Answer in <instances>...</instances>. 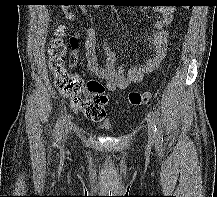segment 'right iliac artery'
<instances>
[{"mask_svg":"<svg viewBox=\"0 0 217 197\" xmlns=\"http://www.w3.org/2000/svg\"><path fill=\"white\" fill-rule=\"evenodd\" d=\"M63 125H64V116H61L57 123H56V128H55V139L59 141L62 136V131H63Z\"/></svg>","mask_w":217,"mask_h":197,"instance_id":"82829eb1","label":"right iliac artery"}]
</instances>
